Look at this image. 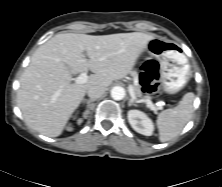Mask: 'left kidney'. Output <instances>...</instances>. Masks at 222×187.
Here are the masks:
<instances>
[{
  "instance_id": "5707ae66",
  "label": "left kidney",
  "mask_w": 222,
  "mask_h": 187,
  "mask_svg": "<svg viewBox=\"0 0 222 187\" xmlns=\"http://www.w3.org/2000/svg\"><path fill=\"white\" fill-rule=\"evenodd\" d=\"M128 121L132 128L145 136H151L154 131V125L147 115L139 110H129Z\"/></svg>"
}]
</instances>
